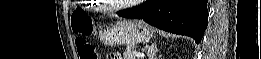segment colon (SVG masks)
<instances>
[{"instance_id": "obj_1", "label": "colon", "mask_w": 261, "mask_h": 59, "mask_svg": "<svg viewBox=\"0 0 261 59\" xmlns=\"http://www.w3.org/2000/svg\"><path fill=\"white\" fill-rule=\"evenodd\" d=\"M71 29L76 36V47L80 59H98L95 48L86 39L95 32L92 19L81 12H74L71 17Z\"/></svg>"}]
</instances>
